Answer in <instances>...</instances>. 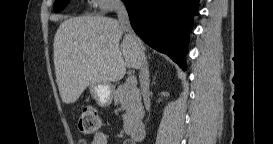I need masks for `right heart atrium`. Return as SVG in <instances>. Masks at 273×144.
I'll return each mask as SVG.
<instances>
[{"mask_svg": "<svg viewBox=\"0 0 273 144\" xmlns=\"http://www.w3.org/2000/svg\"><path fill=\"white\" fill-rule=\"evenodd\" d=\"M121 4H122L121 0H94L95 8L102 13L112 11Z\"/></svg>", "mask_w": 273, "mask_h": 144, "instance_id": "1", "label": "right heart atrium"}]
</instances>
